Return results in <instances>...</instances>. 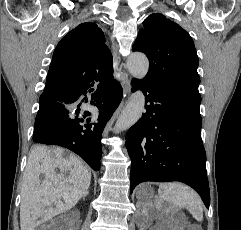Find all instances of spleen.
<instances>
[{"label": "spleen", "mask_w": 241, "mask_h": 230, "mask_svg": "<svg viewBox=\"0 0 241 230\" xmlns=\"http://www.w3.org/2000/svg\"><path fill=\"white\" fill-rule=\"evenodd\" d=\"M158 195L174 206L185 207L197 221L203 219L202 201L199 195L189 187L180 183L162 184Z\"/></svg>", "instance_id": "obj_1"}]
</instances>
